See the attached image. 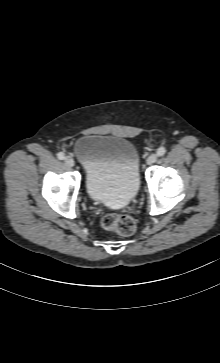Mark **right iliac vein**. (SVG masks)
I'll use <instances>...</instances> for the list:
<instances>
[{"label":"right iliac vein","mask_w":220,"mask_h":363,"mask_svg":"<svg viewBox=\"0 0 220 363\" xmlns=\"http://www.w3.org/2000/svg\"><path fill=\"white\" fill-rule=\"evenodd\" d=\"M64 161L68 167H73L75 165L73 158L70 156H67Z\"/></svg>","instance_id":"1"}]
</instances>
